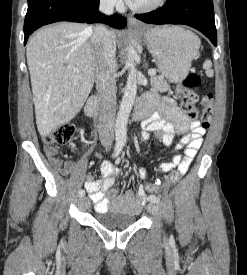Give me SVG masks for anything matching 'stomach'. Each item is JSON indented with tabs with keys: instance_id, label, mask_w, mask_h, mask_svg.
<instances>
[{
	"instance_id": "1",
	"label": "stomach",
	"mask_w": 247,
	"mask_h": 275,
	"mask_svg": "<svg viewBox=\"0 0 247 275\" xmlns=\"http://www.w3.org/2000/svg\"><path fill=\"white\" fill-rule=\"evenodd\" d=\"M159 71L173 83L182 81L196 57L200 40L177 26L145 27L139 31Z\"/></svg>"
}]
</instances>
